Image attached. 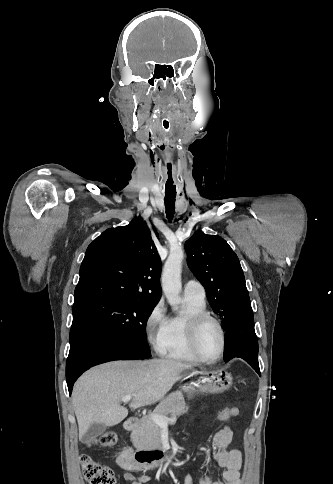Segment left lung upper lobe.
Here are the masks:
<instances>
[{
	"label": "left lung upper lobe",
	"mask_w": 333,
	"mask_h": 484,
	"mask_svg": "<svg viewBox=\"0 0 333 484\" xmlns=\"http://www.w3.org/2000/svg\"><path fill=\"white\" fill-rule=\"evenodd\" d=\"M188 266L204 286L226 330L234 315L251 305L239 259L227 242L197 231L186 242ZM260 375V373H259Z\"/></svg>",
	"instance_id": "left-lung-upper-lobe-1"
}]
</instances>
